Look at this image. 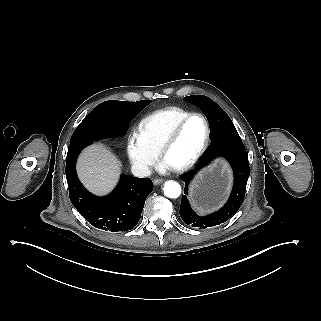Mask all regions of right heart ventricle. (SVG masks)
Listing matches in <instances>:
<instances>
[{
  "label": "right heart ventricle",
  "mask_w": 321,
  "mask_h": 321,
  "mask_svg": "<svg viewBox=\"0 0 321 321\" xmlns=\"http://www.w3.org/2000/svg\"><path fill=\"white\" fill-rule=\"evenodd\" d=\"M190 113V110L179 106L156 110L141 120L139 131L146 142L160 154L162 142L172 126Z\"/></svg>",
  "instance_id": "obj_1"
}]
</instances>
